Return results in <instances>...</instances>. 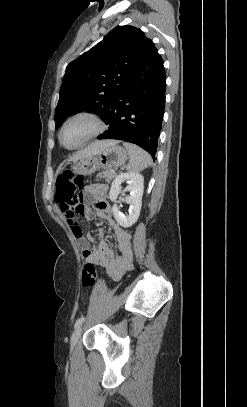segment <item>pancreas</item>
<instances>
[{"label": "pancreas", "mask_w": 247, "mask_h": 407, "mask_svg": "<svg viewBox=\"0 0 247 407\" xmlns=\"http://www.w3.org/2000/svg\"><path fill=\"white\" fill-rule=\"evenodd\" d=\"M115 176H116V173L114 170H106V171H102L97 174V178H103V179H105V181L107 183H110L111 180H113Z\"/></svg>", "instance_id": "pancreas-1"}]
</instances>
